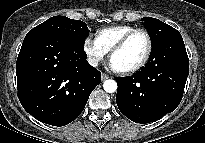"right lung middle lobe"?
<instances>
[{"label": "right lung middle lobe", "mask_w": 205, "mask_h": 143, "mask_svg": "<svg viewBox=\"0 0 205 143\" xmlns=\"http://www.w3.org/2000/svg\"><path fill=\"white\" fill-rule=\"evenodd\" d=\"M34 30H48L57 33L80 47L89 34L87 24L80 20H73L65 16H54L33 28Z\"/></svg>", "instance_id": "right-lung-middle-lobe-1"}]
</instances>
